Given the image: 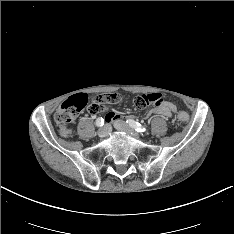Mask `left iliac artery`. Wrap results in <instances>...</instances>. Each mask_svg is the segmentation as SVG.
<instances>
[{"label": "left iliac artery", "instance_id": "1", "mask_svg": "<svg viewBox=\"0 0 234 234\" xmlns=\"http://www.w3.org/2000/svg\"><path fill=\"white\" fill-rule=\"evenodd\" d=\"M132 128H134L137 132H145L146 128L143 127L140 123L134 121L133 119H128L126 121Z\"/></svg>", "mask_w": 234, "mask_h": 234}]
</instances>
